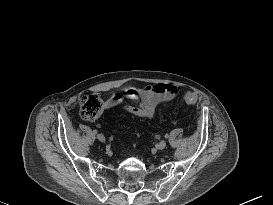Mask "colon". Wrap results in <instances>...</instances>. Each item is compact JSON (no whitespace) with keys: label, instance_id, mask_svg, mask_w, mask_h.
I'll use <instances>...</instances> for the list:
<instances>
[{"label":"colon","instance_id":"5ec220e1","mask_svg":"<svg viewBox=\"0 0 273 205\" xmlns=\"http://www.w3.org/2000/svg\"><path fill=\"white\" fill-rule=\"evenodd\" d=\"M184 100L187 104L193 105L196 103L197 98L195 94L188 93L185 95ZM79 106L83 118L95 120L101 115L104 108V102L98 94H84L80 97Z\"/></svg>","mask_w":273,"mask_h":205}]
</instances>
